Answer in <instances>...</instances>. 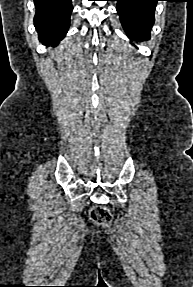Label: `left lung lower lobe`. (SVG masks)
I'll return each mask as SVG.
<instances>
[{
	"instance_id": "0a47b994",
	"label": "left lung lower lobe",
	"mask_w": 193,
	"mask_h": 287,
	"mask_svg": "<svg viewBox=\"0 0 193 287\" xmlns=\"http://www.w3.org/2000/svg\"><path fill=\"white\" fill-rule=\"evenodd\" d=\"M117 1L116 10L122 26L130 39L138 35L147 38L154 23V12L160 0H113Z\"/></svg>"
}]
</instances>
